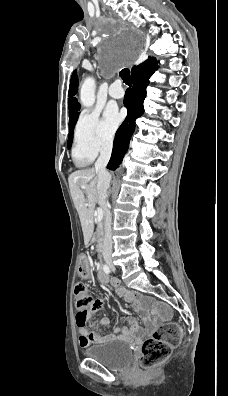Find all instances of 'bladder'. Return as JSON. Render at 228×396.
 <instances>
[{"label": "bladder", "instance_id": "31cf9c89", "mask_svg": "<svg viewBox=\"0 0 228 396\" xmlns=\"http://www.w3.org/2000/svg\"><path fill=\"white\" fill-rule=\"evenodd\" d=\"M84 354L110 369H123L133 361V350L126 340H108L91 345Z\"/></svg>", "mask_w": 228, "mask_h": 396}]
</instances>
